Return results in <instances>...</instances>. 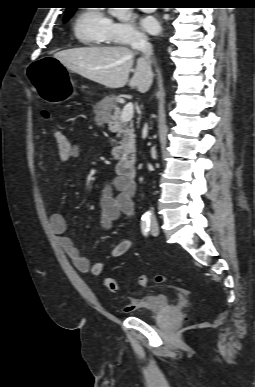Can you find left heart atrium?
I'll return each mask as SVG.
<instances>
[{"mask_svg":"<svg viewBox=\"0 0 255 387\" xmlns=\"http://www.w3.org/2000/svg\"><path fill=\"white\" fill-rule=\"evenodd\" d=\"M141 26L150 34H156L160 29L158 21L152 16L143 17L141 19Z\"/></svg>","mask_w":255,"mask_h":387,"instance_id":"1","label":"left heart atrium"}]
</instances>
